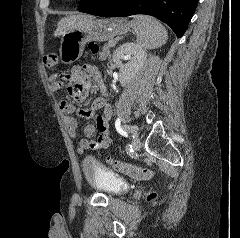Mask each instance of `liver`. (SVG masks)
Here are the masks:
<instances>
[{"label": "liver", "mask_w": 240, "mask_h": 238, "mask_svg": "<svg viewBox=\"0 0 240 238\" xmlns=\"http://www.w3.org/2000/svg\"><path fill=\"white\" fill-rule=\"evenodd\" d=\"M92 18L94 17L89 15H83V14L66 16L58 22V26L55 31V36L63 35L66 31L75 29L80 25H82L88 19H92Z\"/></svg>", "instance_id": "1"}]
</instances>
